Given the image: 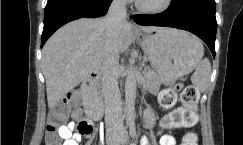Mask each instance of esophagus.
Returning <instances> with one entry per match:
<instances>
[{
  "label": "esophagus",
  "mask_w": 243,
  "mask_h": 145,
  "mask_svg": "<svg viewBox=\"0 0 243 145\" xmlns=\"http://www.w3.org/2000/svg\"><path fill=\"white\" fill-rule=\"evenodd\" d=\"M132 27H133V30H135V31L139 30V28L137 27V25L135 23H133Z\"/></svg>",
  "instance_id": "1"
}]
</instances>
